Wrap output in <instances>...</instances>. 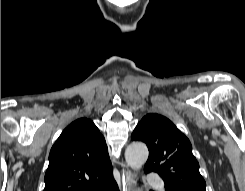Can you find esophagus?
Returning <instances> with one entry per match:
<instances>
[{
  "label": "esophagus",
  "instance_id": "1",
  "mask_svg": "<svg viewBox=\"0 0 245 191\" xmlns=\"http://www.w3.org/2000/svg\"><path fill=\"white\" fill-rule=\"evenodd\" d=\"M133 186H134V175L127 166L123 165V169H122L123 191H132Z\"/></svg>",
  "mask_w": 245,
  "mask_h": 191
}]
</instances>
